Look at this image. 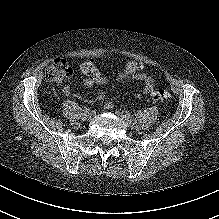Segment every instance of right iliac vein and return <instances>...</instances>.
Returning a JSON list of instances; mask_svg holds the SVG:
<instances>
[{
  "label": "right iliac vein",
  "mask_w": 219,
  "mask_h": 219,
  "mask_svg": "<svg viewBox=\"0 0 219 219\" xmlns=\"http://www.w3.org/2000/svg\"><path fill=\"white\" fill-rule=\"evenodd\" d=\"M92 117V114L91 113H84L83 116H82V119L85 120V121H88L90 120Z\"/></svg>",
  "instance_id": "obj_1"
}]
</instances>
